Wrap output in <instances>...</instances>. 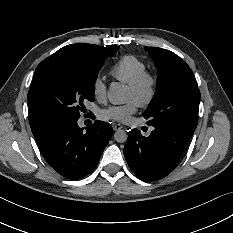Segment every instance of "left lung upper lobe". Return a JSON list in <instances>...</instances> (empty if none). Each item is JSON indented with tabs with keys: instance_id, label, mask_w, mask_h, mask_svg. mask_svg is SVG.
Returning <instances> with one entry per match:
<instances>
[{
	"instance_id": "1",
	"label": "left lung upper lobe",
	"mask_w": 233,
	"mask_h": 233,
	"mask_svg": "<svg viewBox=\"0 0 233 233\" xmlns=\"http://www.w3.org/2000/svg\"><path fill=\"white\" fill-rule=\"evenodd\" d=\"M154 60L159 76L157 90L144 113L154 127L194 130L200 91L190 67L175 53L156 47H144Z\"/></svg>"
}]
</instances>
